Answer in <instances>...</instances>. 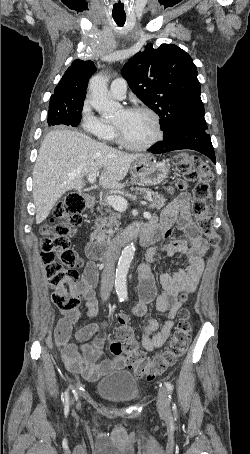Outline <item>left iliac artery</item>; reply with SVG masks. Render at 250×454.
<instances>
[{
  "label": "left iliac artery",
  "mask_w": 250,
  "mask_h": 454,
  "mask_svg": "<svg viewBox=\"0 0 250 454\" xmlns=\"http://www.w3.org/2000/svg\"><path fill=\"white\" fill-rule=\"evenodd\" d=\"M165 387L167 391L170 393L169 398L171 399L172 392H173V385L169 382H165Z\"/></svg>",
  "instance_id": "left-iliac-artery-1"
}]
</instances>
